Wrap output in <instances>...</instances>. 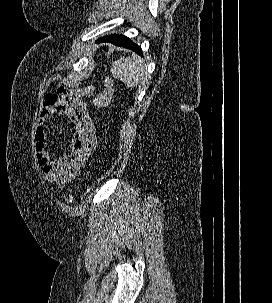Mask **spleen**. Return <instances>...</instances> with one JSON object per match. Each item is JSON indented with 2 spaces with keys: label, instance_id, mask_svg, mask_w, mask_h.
I'll list each match as a JSON object with an SVG mask.
<instances>
[{
  "label": "spleen",
  "instance_id": "1",
  "mask_svg": "<svg viewBox=\"0 0 272 303\" xmlns=\"http://www.w3.org/2000/svg\"><path fill=\"white\" fill-rule=\"evenodd\" d=\"M112 76L122 81L127 87H137L145 80L146 70L142 60L138 57H121L111 68Z\"/></svg>",
  "mask_w": 272,
  "mask_h": 303
}]
</instances>
